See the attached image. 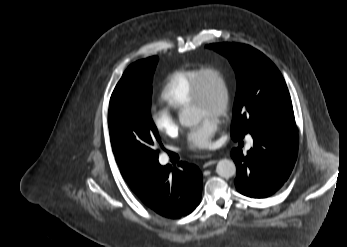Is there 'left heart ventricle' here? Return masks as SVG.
Masks as SVG:
<instances>
[{"label":"left heart ventricle","instance_id":"obj_1","mask_svg":"<svg viewBox=\"0 0 347 247\" xmlns=\"http://www.w3.org/2000/svg\"><path fill=\"white\" fill-rule=\"evenodd\" d=\"M206 103L203 106H193L192 110L197 118L216 116V110L221 102L222 90L218 79L214 75L205 80Z\"/></svg>","mask_w":347,"mask_h":247}]
</instances>
